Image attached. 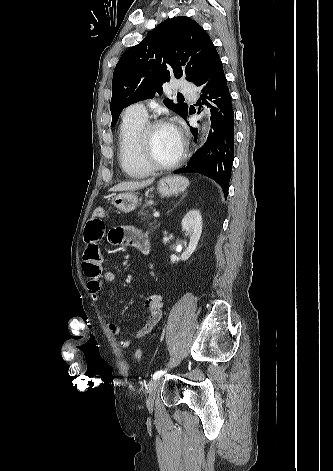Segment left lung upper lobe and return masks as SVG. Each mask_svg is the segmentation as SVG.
<instances>
[{"label":"left lung upper lobe","mask_w":333,"mask_h":471,"mask_svg":"<svg viewBox=\"0 0 333 471\" xmlns=\"http://www.w3.org/2000/svg\"><path fill=\"white\" fill-rule=\"evenodd\" d=\"M216 52L209 35L194 20L178 16L160 23L138 45L125 51L118 61L112 83L111 114L114 127L122 110L140 100L162 94L171 77H186L194 84ZM167 105L185 118L187 104Z\"/></svg>","instance_id":"left-lung-upper-lobe-1"}]
</instances>
